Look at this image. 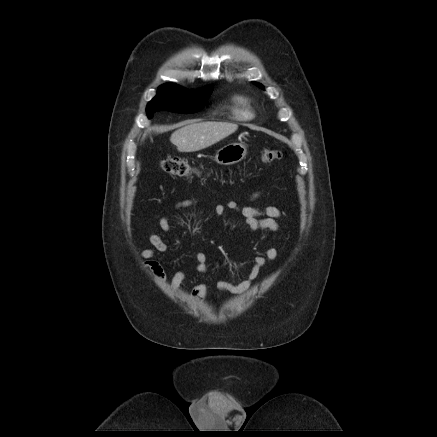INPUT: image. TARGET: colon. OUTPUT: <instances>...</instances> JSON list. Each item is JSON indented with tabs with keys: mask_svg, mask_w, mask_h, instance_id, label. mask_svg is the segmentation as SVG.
<instances>
[{
	"mask_svg": "<svg viewBox=\"0 0 437 437\" xmlns=\"http://www.w3.org/2000/svg\"><path fill=\"white\" fill-rule=\"evenodd\" d=\"M283 152L275 148H263L261 151V160L265 163H272L281 159ZM160 169L170 175L187 177L196 173V169L191 163L181 157L168 156L162 159L159 163Z\"/></svg>",
	"mask_w": 437,
	"mask_h": 437,
	"instance_id": "5ec220e1",
	"label": "colon"
}]
</instances>
